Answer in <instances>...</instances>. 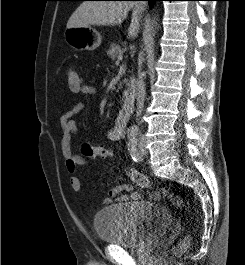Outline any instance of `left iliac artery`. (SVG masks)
<instances>
[{"label": "left iliac artery", "mask_w": 245, "mask_h": 265, "mask_svg": "<svg viewBox=\"0 0 245 265\" xmlns=\"http://www.w3.org/2000/svg\"><path fill=\"white\" fill-rule=\"evenodd\" d=\"M137 139L135 138V136L129 138V142L127 144L128 150L130 152V155L132 157V159L135 162H138L140 160V153L137 150Z\"/></svg>", "instance_id": "1"}]
</instances>
